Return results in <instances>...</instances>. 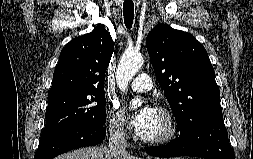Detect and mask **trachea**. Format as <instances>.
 I'll return each mask as SVG.
<instances>
[{
  "label": "trachea",
  "mask_w": 253,
  "mask_h": 159,
  "mask_svg": "<svg viewBox=\"0 0 253 159\" xmlns=\"http://www.w3.org/2000/svg\"><path fill=\"white\" fill-rule=\"evenodd\" d=\"M124 23L128 29L132 27L134 19V3L131 0H125L123 3Z\"/></svg>",
  "instance_id": "obj_1"
}]
</instances>
